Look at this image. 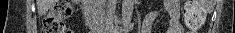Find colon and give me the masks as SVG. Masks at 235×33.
<instances>
[{"label": "colon", "instance_id": "colon-1", "mask_svg": "<svg viewBox=\"0 0 235 33\" xmlns=\"http://www.w3.org/2000/svg\"><path fill=\"white\" fill-rule=\"evenodd\" d=\"M71 14L68 0H59L43 21L42 33H73L63 22ZM205 12L197 0H188L183 9L185 25L194 33L203 23Z\"/></svg>", "mask_w": 235, "mask_h": 33}]
</instances>
